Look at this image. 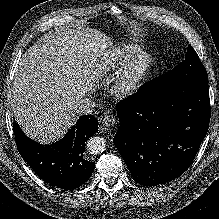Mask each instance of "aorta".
<instances>
[{
	"instance_id": "obj_1",
	"label": "aorta",
	"mask_w": 219,
	"mask_h": 219,
	"mask_svg": "<svg viewBox=\"0 0 219 219\" xmlns=\"http://www.w3.org/2000/svg\"><path fill=\"white\" fill-rule=\"evenodd\" d=\"M86 146L89 153L97 155L105 151L106 142L101 137H91Z\"/></svg>"
}]
</instances>
